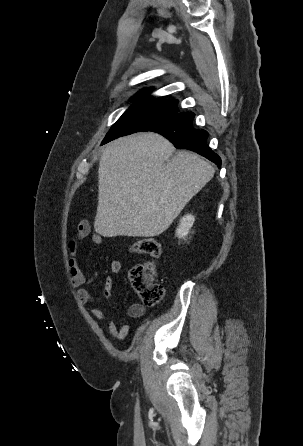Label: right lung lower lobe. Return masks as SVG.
<instances>
[{
	"label": "right lung lower lobe",
	"instance_id": "98d812e1",
	"mask_svg": "<svg viewBox=\"0 0 303 446\" xmlns=\"http://www.w3.org/2000/svg\"><path fill=\"white\" fill-rule=\"evenodd\" d=\"M194 116L193 112H176L158 119L142 131L157 132L172 142L176 148L196 152L220 168V157L207 145L208 132L193 127Z\"/></svg>",
	"mask_w": 303,
	"mask_h": 446
}]
</instances>
